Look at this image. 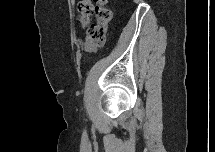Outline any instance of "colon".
Instances as JSON below:
<instances>
[{
	"label": "colon",
	"instance_id": "5ec220e1",
	"mask_svg": "<svg viewBox=\"0 0 215 152\" xmlns=\"http://www.w3.org/2000/svg\"><path fill=\"white\" fill-rule=\"evenodd\" d=\"M96 23L91 22L92 15ZM78 17L81 24L87 27L85 41L82 43L87 51H92L104 45L106 29L112 19V12L105 0H81L78 4Z\"/></svg>",
	"mask_w": 215,
	"mask_h": 152
}]
</instances>
